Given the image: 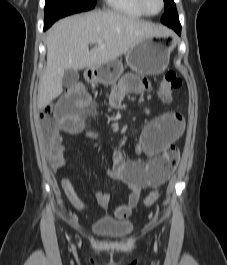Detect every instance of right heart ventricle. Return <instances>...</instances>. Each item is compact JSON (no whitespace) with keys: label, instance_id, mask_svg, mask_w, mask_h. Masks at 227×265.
<instances>
[{"label":"right heart ventricle","instance_id":"1","mask_svg":"<svg viewBox=\"0 0 227 265\" xmlns=\"http://www.w3.org/2000/svg\"><path fill=\"white\" fill-rule=\"evenodd\" d=\"M105 2L110 9L123 15L133 18L144 16L139 9L137 0H105Z\"/></svg>","mask_w":227,"mask_h":265}]
</instances>
